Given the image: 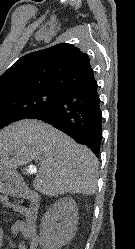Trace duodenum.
<instances>
[{"mask_svg": "<svg viewBox=\"0 0 135 249\" xmlns=\"http://www.w3.org/2000/svg\"><path fill=\"white\" fill-rule=\"evenodd\" d=\"M21 194L25 198V200L30 203L29 207H33L36 210H38V204L40 201V197L37 194V192H35L31 188H24L21 190Z\"/></svg>", "mask_w": 135, "mask_h": 249, "instance_id": "duodenum-1", "label": "duodenum"}]
</instances>
